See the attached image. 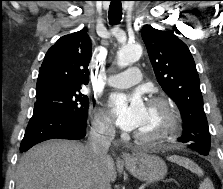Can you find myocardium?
<instances>
[{"label": "myocardium", "instance_id": "myocardium-1", "mask_svg": "<svg viewBox=\"0 0 223 189\" xmlns=\"http://www.w3.org/2000/svg\"><path fill=\"white\" fill-rule=\"evenodd\" d=\"M148 105L162 109L165 114V120L162 126L153 132H135V138L142 142L150 143L173 135L179 130L181 122L180 113L170 98L163 95H155L148 99Z\"/></svg>", "mask_w": 223, "mask_h": 189}]
</instances>
